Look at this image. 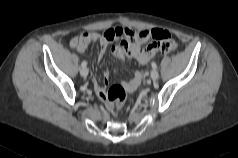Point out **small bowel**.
I'll use <instances>...</instances> for the list:
<instances>
[{"instance_id":"obj_1","label":"small bowel","mask_w":238,"mask_h":158,"mask_svg":"<svg viewBox=\"0 0 238 158\" xmlns=\"http://www.w3.org/2000/svg\"><path fill=\"white\" fill-rule=\"evenodd\" d=\"M164 36H169V33L162 29L153 30H132L129 28H112L103 33L84 32L75 36L70 41V46L79 52H84L92 43L98 42L100 45V52L98 59H102L106 54L109 43L114 39H120V44L111 48V54L117 59H124L130 57L136 60L139 64H147L159 51L160 41ZM151 42L143 47L142 44L146 41ZM143 77L142 72L137 71L133 78L128 81L127 87L133 91L140 84ZM109 73L103 72L102 81L94 78V87L99 97H104L105 88L108 83Z\"/></svg>"}]
</instances>
